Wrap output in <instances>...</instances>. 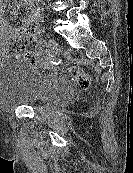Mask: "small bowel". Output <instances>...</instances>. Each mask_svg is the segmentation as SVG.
I'll return each instance as SVG.
<instances>
[{"instance_id": "c3829d8e", "label": "small bowel", "mask_w": 133, "mask_h": 173, "mask_svg": "<svg viewBox=\"0 0 133 173\" xmlns=\"http://www.w3.org/2000/svg\"><path fill=\"white\" fill-rule=\"evenodd\" d=\"M21 5L23 7H30V12L25 18L22 27L7 25L3 14L0 12V61L7 57L3 54L2 50L10 39L18 37L22 38L26 42H31L35 41L41 32L39 24V11L36 7H34V0H21ZM36 56L37 59L34 62L39 60V56Z\"/></svg>"}]
</instances>
